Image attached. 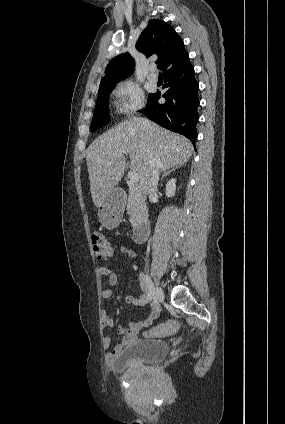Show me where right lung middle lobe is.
Instances as JSON below:
<instances>
[{
    "label": "right lung middle lobe",
    "instance_id": "right-lung-middle-lobe-1",
    "mask_svg": "<svg viewBox=\"0 0 285 424\" xmlns=\"http://www.w3.org/2000/svg\"><path fill=\"white\" fill-rule=\"evenodd\" d=\"M116 84L109 85L103 88H99L98 97L95 106L94 116L90 126V132L106 125L110 122L109 116V95ZM152 94H149V98Z\"/></svg>",
    "mask_w": 285,
    "mask_h": 424
}]
</instances>
